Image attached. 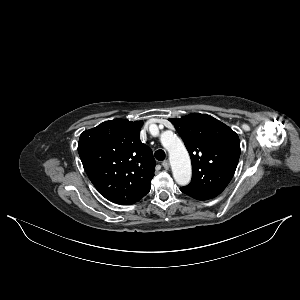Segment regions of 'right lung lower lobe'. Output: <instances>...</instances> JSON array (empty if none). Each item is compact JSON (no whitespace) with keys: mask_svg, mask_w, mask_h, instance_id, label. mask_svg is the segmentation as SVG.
<instances>
[{"mask_svg":"<svg viewBox=\"0 0 300 300\" xmlns=\"http://www.w3.org/2000/svg\"><path fill=\"white\" fill-rule=\"evenodd\" d=\"M141 199V198H140ZM140 199H136V200H131V201H128V202H125V203H121V205H128V204H133L137 201H139Z\"/></svg>","mask_w":300,"mask_h":300,"instance_id":"right-lung-lower-lobe-1","label":"right lung lower lobe"}]
</instances>
